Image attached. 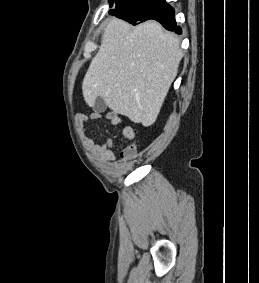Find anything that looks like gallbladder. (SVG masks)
<instances>
[{"instance_id": "1", "label": "gallbladder", "mask_w": 259, "mask_h": 283, "mask_svg": "<svg viewBox=\"0 0 259 283\" xmlns=\"http://www.w3.org/2000/svg\"><path fill=\"white\" fill-rule=\"evenodd\" d=\"M106 108H107V105L104 99L98 96L94 102L93 110L97 113H102V112H105Z\"/></svg>"}]
</instances>
